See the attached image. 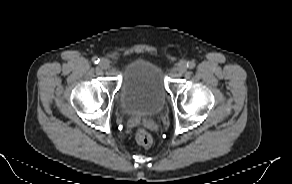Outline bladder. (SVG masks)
Wrapping results in <instances>:
<instances>
[{
	"label": "bladder",
	"mask_w": 292,
	"mask_h": 184,
	"mask_svg": "<svg viewBox=\"0 0 292 184\" xmlns=\"http://www.w3.org/2000/svg\"><path fill=\"white\" fill-rule=\"evenodd\" d=\"M167 94L161 68L147 59H137L123 73L119 103L128 115H154L164 107Z\"/></svg>",
	"instance_id": "1"
}]
</instances>
